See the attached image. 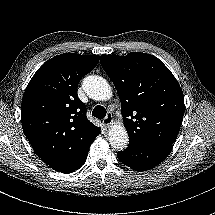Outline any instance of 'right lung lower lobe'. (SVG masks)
Wrapping results in <instances>:
<instances>
[{"label":"right lung lower lobe","instance_id":"98d812e1","mask_svg":"<svg viewBox=\"0 0 215 215\" xmlns=\"http://www.w3.org/2000/svg\"><path fill=\"white\" fill-rule=\"evenodd\" d=\"M99 133H100V128L98 127V129L95 131V133H94V135H93V137H92V139H91L90 145L93 143V141H94V139L96 138V136L99 135ZM90 145H89L88 148H87V151H86V153H85V158L83 159V162H82V163L80 164V166H79L78 168H76L75 170L79 169V168L84 164V162L86 161V158H87V154H88ZM75 170H73V171H75ZM73 171H71V172H73ZM58 172H59V171H58ZM71 172H69V173H71Z\"/></svg>","mask_w":215,"mask_h":215}]
</instances>
